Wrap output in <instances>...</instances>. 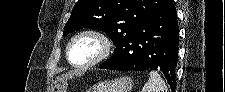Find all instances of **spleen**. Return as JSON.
Instances as JSON below:
<instances>
[{
  "mask_svg": "<svg viewBox=\"0 0 225 92\" xmlns=\"http://www.w3.org/2000/svg\"><path fill=\"white\" fill-rule=\"evenodd\" d=\"M142 92H168V89L158 72L151 71L149 80L144 85Z\"/></svg>",
  "mask_w": 225,
  "mask_h": 92,
  "instance_id": "obj_1",
  "label": "spleen"
}]
</instances>
